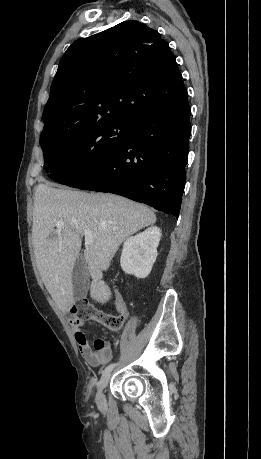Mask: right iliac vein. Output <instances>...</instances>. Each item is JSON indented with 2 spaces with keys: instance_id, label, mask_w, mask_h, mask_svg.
I'll use <instances>...</instances> for the list:
<instances>
[{
  "instance_id": "obj_1",
  "label": "right iliac vein",
  "mask_w": 261,
  "mask_h": 459,
  "mask_svg": "<svg viewBox=\"0 0 261 459\" xmlns=\"http://www.w3.org/2000/svg\"><path fill=\"white\" fill-rule=\"evenodd\" d=\"M110 378H111V373L110 372H105L101 376V379H100V381L98 383V386H97L98 390H97V394H96V403H97L99 408H104L106 406V399H105V395H104L103 391L106 388V386L108 385V383L110 381Z\"/></svg>"
}]
</instances>
